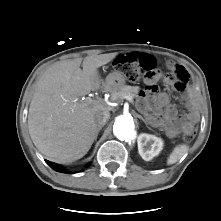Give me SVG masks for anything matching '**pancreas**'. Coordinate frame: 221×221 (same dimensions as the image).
<instances>
[{"label": "pancreas", "instance_id": "pancreas-1", "mask_svg": "<svg viewBox=\"0 0 221 221\" xmlns=\"http://www.w3.org/2000/svg\"><path fill=\"white\" fill-rule=\"evenodd\" d=\"M138 91H139V87L137 86L125 85L120 90L115 91L112 94V98L113 100H120L124 98L125 96H131L132 98H134L136 94L138 93Z\"/></svg>", "mask_w": 221, "mask_h": 221}]
</instances>
